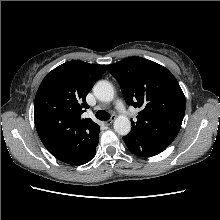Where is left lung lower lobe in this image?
Here are the masks:
<instances>
[{
  "mask_svg": "<svg viewBox=\"0 0 220 220\" xmlns=\"http://www.w3.org/2000/svg\"><path fill=\"white\" fill-rule=\"evenodd\" d=\"M123 140L131 153L141 157H151L166 149V147L163 146H157L143 140H138L130 134L124 136Z\"/></svg>",
  "mask_w": 220,
  "mask_h": 220,
  "instance_id": "obj_1",
  "label": "left lung lower lobe"
}]
</instances>
